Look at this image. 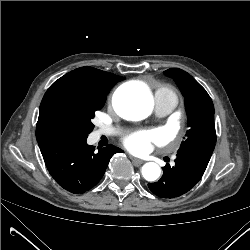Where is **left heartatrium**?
Instances as JSON below:
<instances>
[{
	"mask_svg": "<svg viewBox=\"0 0 250 250\" xmlns=\"http://www.w3.org/2000/svg\"><path fill=\"white\" fill-rule=\"evenodd\" d=\"M164 142V134L161 130L141 131L125 138L126 147L137 154L148 152L152 145H160Z\"/></svg>",
	"mask_w": 250,
	"mask_h": 250,
	"instance_id": "obj_1",
	"label": "left heart atrium"
}]
</instances>
